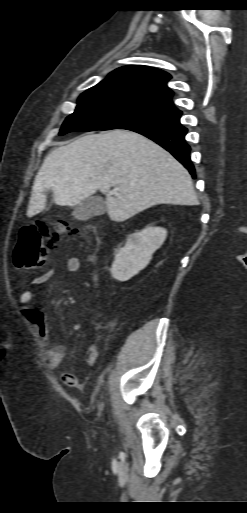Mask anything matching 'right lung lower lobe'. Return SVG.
<instances>
[{
  "mask_svg": "<svg viewBox=\"0 0 247 513\" xmlns=\"http://www.w3.org/2000/svg\"><path fill=\"white\" fill-rule=\"evenodd\" d=\"M181 113L175 110L128 123L120 129L131 130L153 140L169 151L195 178V169L190 160V147L184 139L187 129L180 123Z\"/></svg>",
  "mask_w": 247,
  "mask_h": 513,
  "instance_id": "98d812e1",
  "label": "right lung lower lobe"
}]
</instances>
